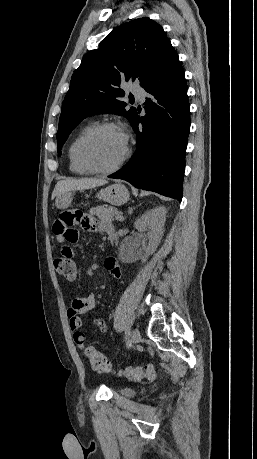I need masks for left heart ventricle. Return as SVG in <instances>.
Returning <instances> with one entry per match:
<instances>
[{
    "mask_svg": "<svg viewBox=\"0 0 257 459\" xmlns=\"http://www.w3.org/2000/svg\"><path fill=\"white\" fill-rule=\"evenodd\" d=\"M126 143L116 129H105L95 134L86 144L85 157L99 167L114 165L123 155Z\"/></svg>",
    "mask_w": 257,
    "mask_h": 459,
    "instance_id": "left-heart-ventricle-1",
    "label": "left heart ventricle"
}]
</instances>
